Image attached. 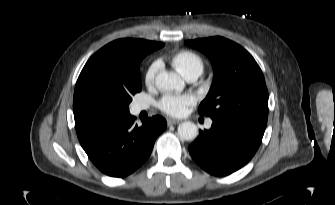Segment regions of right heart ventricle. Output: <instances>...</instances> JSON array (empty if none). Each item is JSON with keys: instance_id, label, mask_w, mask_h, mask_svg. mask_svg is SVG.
Masks as SVG:
<instances>
[{"instance_id": "obj_1", "label": "right heart ventricle", "mask_w": 335, "mask_h": 205, "mask_svg": "<svg viewBox=\"0 0 335 205\" xmlns=\"http://www.w3.org/2000/svg\"><path fill=\"white\" fill-rule=\"evenodd\" d=\"M171 62L173 66L185 77L197 74L200 75L204 69L203 58L194 51L182 50L176 53Z\"/></svg>"}]
</instances>
